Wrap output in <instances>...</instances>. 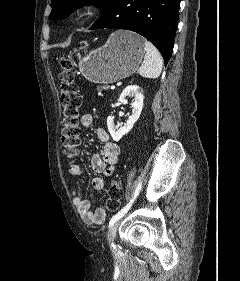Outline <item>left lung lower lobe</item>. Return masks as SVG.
Here are the masks:
<instances>
[{
  "label": "left lung lower lobe",
  "instance_id": "left-lung-lower-lobe-1",
  "mask_svg": "<svg viewBox=\"0 0 240 281\" xmlns=\"http://www.w3.org/2000/svg\"><path fill=\"white\" fill-rule=\"evenodd\" d=\"M181 0H112L90 27L126 29L152 42L165 65L172 56Z\"/></svg>",
  "mask_w": 240,
  "mask_h": 281
}]
</instances>
